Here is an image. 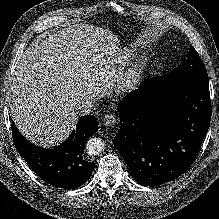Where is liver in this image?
<instances>
[{
    "mask_svg": "<svg viewBox=\"0 0 219 219\" xmlns=\"http://www.w3.org/2000/svg\"><path fill=\"white\" fill-rule=\"evenodd\" d=\"M117 42L110 31L75 24L28 48L16 65L8 100L17 128L29 141L44 148L57 145L76 127L79 101L109 96L114 70L102 67L103 56Z\"/></svg>",
    "mask_w": 219,
    "mask_h": 219,
    "instance_id": "liver-1",
    "label": "liver"
}]
</instances>
